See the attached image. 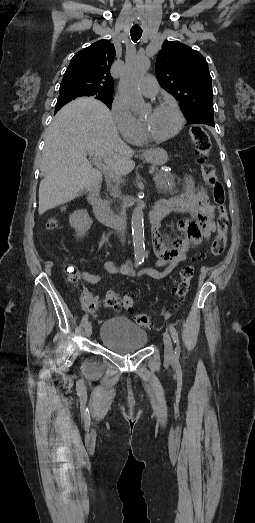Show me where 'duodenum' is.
<instances>
[{"instance_id": "duodenum-1", "label": "duodenum", "mask_w": 255, "mask_h": 523, "mask_svg": "<svg viewBox=\"0 0 255 523\" xmlns=\"http://www.w3.org/2000/svg\"><path fill=\"white\" fill-rule=\"evenodd\" d=\"M100 178L95 176L91 179L87 188V201L91 205L97 220L106 226L118 227L120 220L100 197ZM169 212L171 203L169 199L158 200L148 214L149 223L156 226Z\"/></svg>"}]
</instances>
